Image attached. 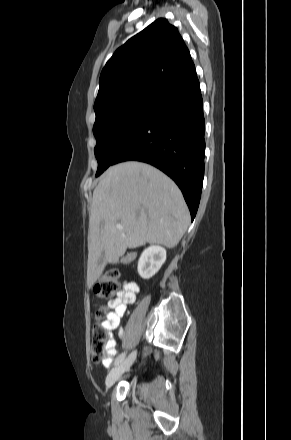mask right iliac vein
Returning <instances> with one entry per match:
<instances>
[{
	"instance_id": "63e3f726",
	"label": "right iliac vein",
	"mask_w": 291,
	"mask_h": 440,
	"mask_svg": "<svg viewBox=\"0 0 291 440\" xmlns=\"http://www.w3.org/2000/svg\"><path fill=\"white\" fill-rule=\"evenodd\" d=\"M136 359V351H133L117 367L113 368L106 377V387L111 388L121 375L127 371Z\"/></svg>"
}]
</instances>
